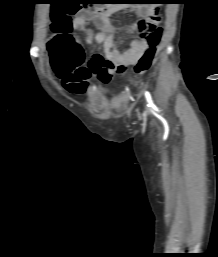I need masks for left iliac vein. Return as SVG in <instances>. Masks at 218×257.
I'll list each match as a JSON object with an SVG mask.
<instances>
[{"mask_svg":"<svg viewBox=\"0 0 218 257\" xmlns=\"http://www.w3.org/2000/svg\"><path fill=\"white\" fill-rule=\"evenodd\" d=\"M146 110H147V112H149V109H148V108H146Z\"/></svg>","mask_w":218,"mask_h":257,"instance_id":"left-iliac-vein-1","label":"left iliac vein"}]
</instances>
